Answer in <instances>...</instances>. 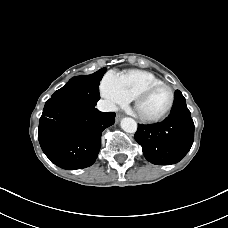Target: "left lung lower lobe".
I'll return each mask as SVG.
<instances>
[{
	"instance_id": "left-lung-lower-lobe-1",
	"label": "left lung lower lobe",
	"mask_w": 228,
	"mask_h": 228,
	"mask_svg": "<svg viewBox=\"0 0 228 228\" xmlns=\"http://www.w3.org/2000/svg\"><path fill=\"white\" fill-rule=\"evenodd\" d=\"M135 139L153 164H174L188 153L194 141V123L179 90L174 94L170 115L161 123L138 124Z\"/></svg>"
}]
</instances>
